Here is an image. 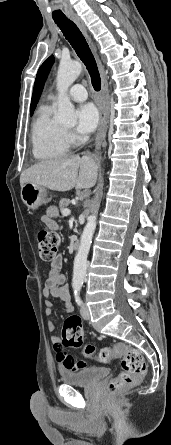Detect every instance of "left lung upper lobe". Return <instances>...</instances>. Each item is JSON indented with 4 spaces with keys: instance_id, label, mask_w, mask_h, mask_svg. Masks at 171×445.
I'll return each instance as SVG.
<instances>
[{
    "instance_id": "obj_1",
    "label": "left lung upper lobe",
    "mask_w": 171,
    "mask_h": 445,
    "mask_svg": "<svg viewBox=\"0 0 171 445\" xmlns=\"http://www.w3.org/2000/svg\"><path fill=\"white\" fill-rule=\"evenodd\" d=\"M53 63H54V56L52 55L40 66L37 72L32 100H31V115L33 114V111L39 101V98L41 96L46 81L47 74L49 73Z\"/></svg>"
}]
</instances>
